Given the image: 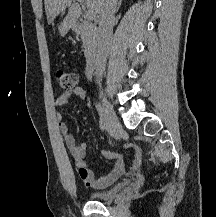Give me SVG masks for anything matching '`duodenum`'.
I'll return each instance as SVG.
<instances>
[{
	"instance_id": "duodenum-1",
	"label": "duodenum",
	"mask_w": 216,
	"mask_h": 217,
	"mask_svg": "<svg viewBox=\"0 0 216 217\" xmlns=\"http://www.w3.org/2000/svg\"><path fill=\"white\" fill-rule=\"evenodd\" d=\"M74 29L80 31L81 27L79 23H75ZM88 65H87V74L89 77L93 76L95 70L99 64V53L98 51H90L87 55Z\"/></svg>"
}]
</instances>
